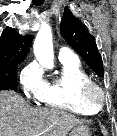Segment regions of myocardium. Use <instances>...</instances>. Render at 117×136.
Segmentation results:
<instances>
[{
    "instance_id": "1",
    "label": "myocardium",
    "mask_w": 117,
    "mask_h": 136,
    "mask_svg": "<svg viewBox=\"0 0 117 136\" xmlns=\"http://www.w3.org/2000/svg\"><path fill=\"white\" fill-rule=\"evenodd\" d=\"M81 97L90 107L100 110L107 102V94L96 82L89 81L82 86Z\"/></svg>"
}]
</instances>
